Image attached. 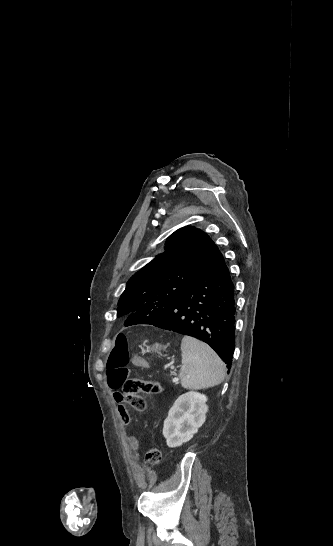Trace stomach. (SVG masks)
<instances>
[{"label":"stomach","mask_w":333,"mask_h":546,"mask_svg":"<svg viewBox=\"0 0 333 546\" xmlns=\"http://www.w3.org/2000/svg\"><path fill=\"white\" fill-rule=\"evenodd\" d=\"M161 348H162L161 345L156 344V345L153 346V347H148V348H147V352H150V351L159 352V351L161 350Z\"/></svg>","instance_id":"0dacf381"}]
</instances>
